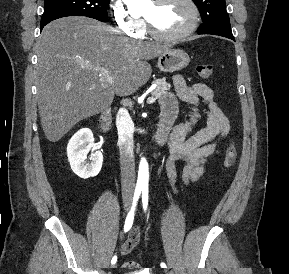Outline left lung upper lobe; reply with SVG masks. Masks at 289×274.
Segmentation results:
<instances>
[{
  "instance_id": "5c2ea615",
  "label": "left lung upper lobe",
  "mask_w": 289,
  "mask_h": 274,
  "mask_svg": "<svg viewBox=\"0 0 289 274\" xmlns=\"http://www.w3.org/2000/svg\"><path fill=\"white\" fill-rule=\"evenodd\" d=\"M193 1L198 7L203 21L198 29V34L233 36L225 0Z\"/></svg>"
}]
</instances>
